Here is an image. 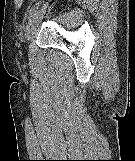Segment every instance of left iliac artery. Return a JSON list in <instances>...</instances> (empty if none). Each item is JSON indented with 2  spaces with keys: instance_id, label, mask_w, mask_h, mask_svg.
I'll use <instances>...</instances> for the list:
<instances>
[{
  "instance_id": "1",
  "label": "left iliac artery",
  "mask_w": 135,
  "mask_h": 161,
  "mask_svg": "<svg viewBox=\"0 0 135 161\" xmlns=\"http://www.w3.org/2000/svg\"><path fill=\"white\" fill-rule=\"evenodd\" d=\"M39 4H40V2H37V3L30 9L29 16H28L29 19H31V18L35 15L36 10H37L38 7H39Z\"/></svg>"
}]
</instances>
